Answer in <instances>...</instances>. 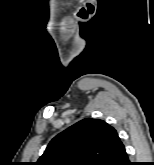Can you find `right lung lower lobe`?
Instances as JSON below:
<instances>
[{"label": "right lung lower lobe", "mask_w": 154, "mask_h": 165, "mask_svg": "<svg viewBox=\"0 0 154 165\" xmlns=\"http://www.w3.org/2000/svg\"><path fill=\"white\" fill-rule=\"evenodd\" d=\"M107 165H131V162H129L128 156L126 154L125 147L121 141L117 145V152Z\"/></svg>", "instance_id": "98d812e1"}]
</instances>
